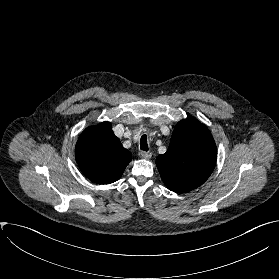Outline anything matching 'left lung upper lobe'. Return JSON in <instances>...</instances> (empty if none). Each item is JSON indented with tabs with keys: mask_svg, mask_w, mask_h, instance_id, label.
<instances>
[{
	"mask_svg": "<svg viewBox=\"0 0 279 279\" xmlns=\"http://www.w3.org/2000/svg\"><path fill=\"white\" fill-rule=\"evenodd\" d=\"M216 159V145L208 128L194 118H187L176 125L169 148L157 157L156 165L167 188L184 193L208 179Z\"/></svg>",
	"mask_w": 279,
	"mask_h": 279,
	"instance_id": "obj_1",
	"label": "left lung upper lobe"
}]
</instances>
